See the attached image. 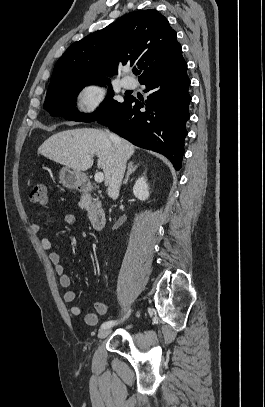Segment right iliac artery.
Listing matches in <instances>:
<instances>
[{
    "mask_svg": "<svg viewBox=\"0 0 265 407\" xmlns=\"http://www.w3.org/2000/svg\"><path fill=\"white\" fill-rule=\"evenodd\" d=\"M117 321H106L101 325V328H110L111 326L115 325Z\"/></svg>",
    "mask_w": 265,
    "mask_h": 407,
    "instance_id": "82829eb1",
    "label": "right iliac artery"
}]
</instances>
